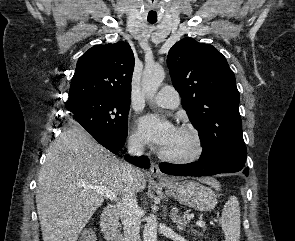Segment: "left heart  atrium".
<instances>
[{
  "instance_id": "obj_1",
  "label": "left heart atrium",
  "mask_w": 295,
  "mask_h": 241,
  "mask_svg": "<svg viewBox=\"0 0 295 241\" xmlns=\"http://www.w3.org/2000/svg\"><path fill=\"white\" fill-rule=\"evenodd\" d=\"M139 126L144 138L161 149H165L178 132L173 123L153 114L142 117Z\"/></svg>"
}]
</instances>
